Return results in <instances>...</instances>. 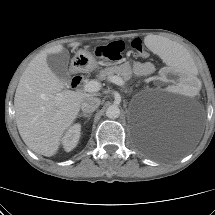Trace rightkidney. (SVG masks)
I'll return each mask as SVG.
<instances>
[{"mask_svg":"<svg viewBox=\"0 0 215 215\" xmlns=\"http://www.w3.org/2000/svg\"><path fill=\"white\" fill-rule=\"evenodd\" d=\"M80 131H81L80 124H74L67 130V132L62 138V144L65 151L69 152L76 147L80 138Z\"/></svg>","mask_w":215,"mask_h":215,"instance_id":"obj_1","label":"right kidney"}]
</instances>
